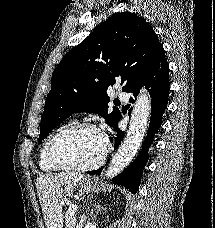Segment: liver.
<instances>
[{
    "label": "liver",
    "instance_id": "1",
    "mask_svg": "<svg viewBox=\"0 0 215 228\" xmlns=\"http://www.w3.org/2000/svg\"><path fill=\"white\" fill-rule=\"evenodd\" d=\"M81 174H42L36 178V190L46 228H61L63 212L61 200L65 186L82 180Z\"/></svg>",
    "mask_w": 215,
    "mask_h": 228
}]
</instances>
